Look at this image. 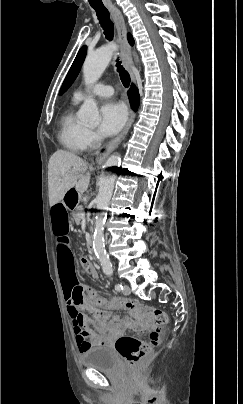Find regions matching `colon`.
I'll use <instances>...</instances> for the list:
<instances>
[{
    "instance_id": "obj_1",
    "label": "colon",
    "mask_w": 243,
    "mask_h": 404,
    "mask_svg": "<svg viewBox=\"0 0 243 404\" xmlns=\"http://www.w3.org/2000/svg\"><path fill=\"white\" fill-rule=\"evenodd\" d=\"M80 267L84 274L92 275L93 268L86 257L80 259ZM86 306L99 316H104L112 309H126L136 315H142L145 313L152 314L158 326L150 330L147 341L138 337L122 336L115 342V349L117 352L133 365L139 363L142 359L148 356L152 349L160 343V326L165 325L168 322L167 314L163 310L159 308H150L142 303L130 300L108 299L91 294Z\"/></svg>"
}]
</instances>
